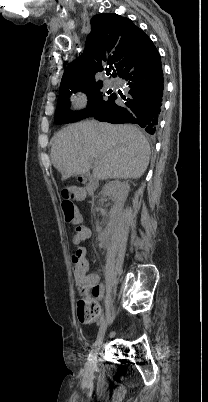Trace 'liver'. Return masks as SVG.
I'll return each mask as SVG.
<instances>
[{
    "mask_svg": "<svg viewBox=\"0 0 208 402\" xmlns=\"http://www.w3.org/2000/svg\"><path fill=\"white\" fill-rule=\"evenodd\" d=\"M150 146L136 126L78 122L56 134L51 160L62 180L84 176L94 164L98 180H127L143 176L150 160Z\"/></svg>",
    "mask_w": 208,
    "mask_h": 402,
    "instance_id": "liver-1",
    "label": "liver"
}]
</instances>
